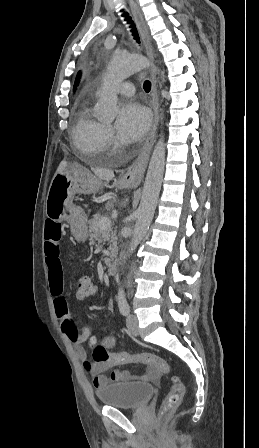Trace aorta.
<instances>
[{
	"label": "aorta",
	"mask_w": 259,
	"mask_h": 448,
	"mask_svg": "<svg viewBox=\"0 0 259 448\" xmlns=\"http://www.w3.org/2000/svg\"><path fill=\"white\" fill-rule=\"evenodd\" d=\"M148 66L149 61L142 55L119 54L112 59L103 79V85L98 91L97 112L102 119L112 121L117 115V85L127 77ZM164 168L165 143L162 137L158 140L149 163L129 255H132L149 230L158 202Z\"/></svg>",
	"instance_id": "1"
}]
</instances>
